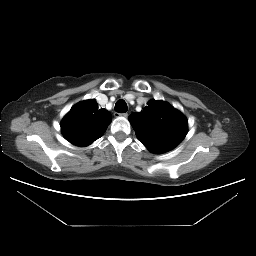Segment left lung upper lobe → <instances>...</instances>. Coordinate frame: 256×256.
Segmentation results:
<instances>
[{"label":"left lung upper lobe","instance_id":"obj_1","mask_svg":"<svg viewBox=\"0 0 256 256\" xmlns=\"http://www.w3.org/2000/svg\"><path fill=\"white\" fill-rule=\"evenodd\" d=\"M129 121L138 140L153 153H165L175 148L187 134V120L174 107L163 101L151 100Z\"/></svg>","mask_w":256,"mask_h":256}]
</instances>
